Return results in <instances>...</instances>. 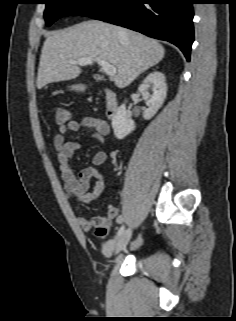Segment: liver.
I'll list each match as a JSON object with an SVG mask.
<instances>
[{
	"instance_id": "liver-1",
	"label": "liver",
	"mask_w": 236,
	"mask_h": 321,
	"mask_svg": "<svg viewBox=\"0 0 236 321\" xmlns=\"http://www.w3.org/2000/svg\"><path fill=\"white\" fill-rule=\"evenodd\" d=\"M164 54L158 41L141 33L102 21H85L48 34L41 51L37 88L78 77L81 68L70 62L82 58L114 65L117 73L113 81L118 88H124L158 64Z\"/></svg>"
}]
</instances>
